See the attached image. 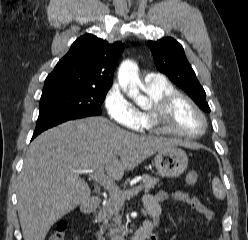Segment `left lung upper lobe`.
Wrapping results in <instances>:
<instances>
[{
	"mask_svg": "<svg viewBox=\"0 0 248 240\" xmlns=\"http://www.w3.org/2000/svg\"><path fill=\"white\" fill-rule=\"evenodd\" d=\"M148 46L157 69L182 88L203 111L210 112L206 93L197 80L181 44L172 37H165L157 41H149Z\"/></svg>",
	"mask_w": 248,
	"mask_h": 240,
	"instance_id": "left-lung-upper-lobe-1",
	"label": "left lung upper lobe"
}]
</instances>
